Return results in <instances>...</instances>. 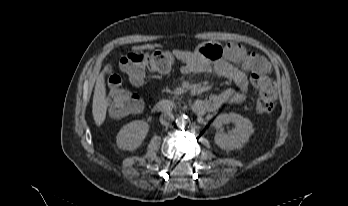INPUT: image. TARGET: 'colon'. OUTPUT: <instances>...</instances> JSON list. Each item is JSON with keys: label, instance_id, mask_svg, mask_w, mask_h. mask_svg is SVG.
I'll use <instances>...</instances> for the list:
<instances>
[{"label": "colon", "instance_id": "5ec220e1", "mask_svg": "<svg viewBox=\"0 0 348 206\" xmlns=\"http://www.w3.org/2000/svg\"><path fill=\"white\" fill-rule=\"evenodd\" d=\"M174 64V55L166 50L136 49L127 53L120 61L121 69L127 74L134 84L144 81L145 73H168ZM252 83L258 91L256 112L269 113L275 105L274 80L261 73L251 76ZM107 103L114 115L122 116L136 113L142 109V101L123 84L122 79L116 74H110L107 85Z\"/></svg>", "mask_w": 348, "mask_h": 206}]
</instances>
